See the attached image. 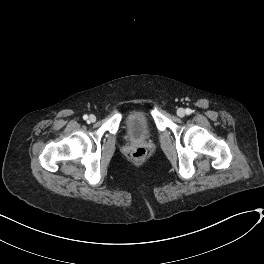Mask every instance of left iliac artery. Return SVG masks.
<instances>
[{"instance_id": "obj_1", "label": "left iliac artery", "mask_w": 264, "mask_h": 264, "mask_svg": "<svg viewBox=\"0 0 264 264\" xmlns=\"http://www.w3.org/2000/svg\"><path fill=\"white\" fill-rule=\"evenodd\" d=\"M185 113H186L187 115H190V114L192 113V111H191V109L186 108Z\"/></svg>"}]
</instances>
